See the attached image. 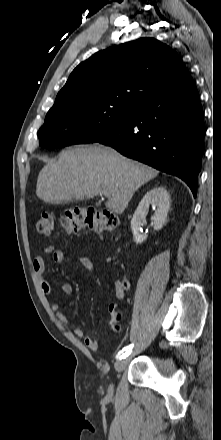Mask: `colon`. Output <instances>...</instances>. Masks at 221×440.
Masks as SVG:
<instances>
[{"label": "colon", "instance_id": "5ec220e1", "mask_svg": "<svg viewBox=\"0 0 221 440\" xmlns=\"http://www.w3.org/2000/svg\"><path fill=\"white\" fill-rule=\"evenodd\" d=\"M55 221L59 222L67 234H76L81 230L111 232L119 225L117 215L112 212H98L90 208H70L65 210L59 218L51 213H42L36 222L37 233L49 236L53 231ZM120 319L121 314L118 311L112 320V328L116 331L120 328Z\"/></svg>", "mask_w": 221, "mask_h": 440}]
</instances>
